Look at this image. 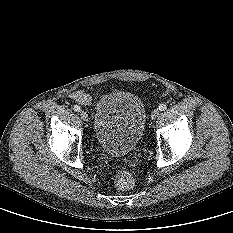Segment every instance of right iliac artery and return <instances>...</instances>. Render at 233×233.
I'll list each match as a JSON object with an SVG mask.
<instances>
[{
    "mask_svg": "<svg viewBox=\"0 0 233 233\" xmlns=\"http://www.w3.org/2000/svg\"><path fill=\"white\" fill-rule=\"evenodd\" d=\"M80 109H81V107L78 106V105H75V106L73 107V110L76 111V112H79Z\"/></svg>",
    "mask_w": 233,
    "mask_h": 233,
    "instance_id": "82829eb1",
    "label": "right iliac artery"
}]
</instances>
